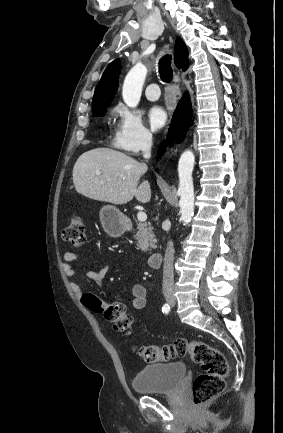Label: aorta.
<instances>
[{
  "label": "aorta",
  "mask_w": 283,
  "mask_h": 433,
  "mask_svg": "<svg viewBox=\"0 0 283 433\" xmlns=\"http://www.w3.org/2000/svg\"><path fill=\"white\" fill-rule=\"evenodd\" d=\"M146 75L147 68L141 63L133 66L126 75L122 88V96L127 106L134 108L138 105ZM194 163L195 156L189 150L182 153L178 163L179 206L183 224H188L194 214V186L192 179Z\"/></svg>",
  "instance_id": "1"
}]
</instances>
